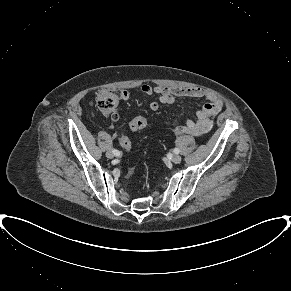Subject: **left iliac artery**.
Here are the masks:
<instances>
[{
  "label": "left iliac artery",
  "instance_id": "44dca946",
  "mask_svg": "<svg viewBox=\"0 0 291 291\" xmlns=\"http://www.w3.org/2000/svg\"><path fill=\"white\" fill-rule=\"evenodd\" d=\"M179 152H180V150H179L178 148H175V149H174V153H175V154H178Z\"/></svg>",
  "mask_w": 291,
  "mask_h": 291
}]
</instances>
